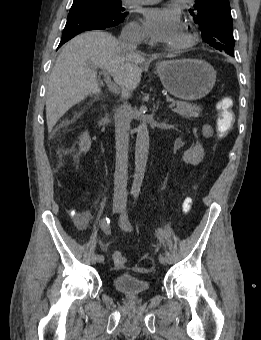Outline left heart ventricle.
Wrapping results in <instances>:
<instances>
[{"instance_id":"1","label":"left heart ventricle","mask_w":261,"mask_h":340,"mask_svg":"<svg viewBox=\"0 0 261 340\" xmlns=\"http://www.w3.org/2000/svg\"><path fill=\"white\" fill-rule=\"evenodd\" d=\"M182 39H183V34H182V32H180V33L177 35V37L172 41L171 44L178 43V42H180Z\"/></svg>"}]
</instances>
